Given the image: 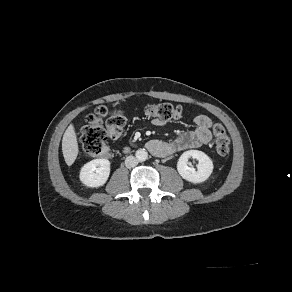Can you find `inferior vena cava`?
<instances>
[{
	"label": "inferior vena cava",
	"mask_w": 292,
	"mask_h": 292,
	"mask_svg": "<svg viewBox=\"0 0 292 292\" xmlns=\"http://www.w3.org/2000/svg\"><path fill=\"white\" fill-rule=\"evenodd\" d=\"M138 164V160L134 156H128L125 159V166L127 168H132Z\"/></svg>",
	"instance_id": "602c4592"
}]
</instances>
